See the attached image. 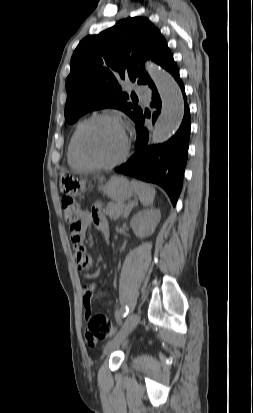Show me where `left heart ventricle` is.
I'll use <instances>...</instances> for the list:
<instances>
[{
  "instance_id": "b2bd125f",
  "label": "left heart ventricle",
  "mask_w": 253,
  "mask_h": 413,
  "mask_svg": "<svg viewBox=\"0 0 253 413\" xmlns=\"http://www.w3.org/2000/svg\"><path fill=\"white\" fill-rule=\"evenodd\" d=\"M125 145L121 127L112 121L91 123L82 134L84 153L96 162H111L123 152Z\"/></svg>"
}]
</instances>
